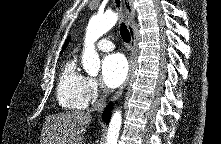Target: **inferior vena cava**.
Segmentation results:
<instances>
[{"label":"inferior vena cava","instance_id":"602c4592","mask_svg":"<svg viewBox=\"0 0 221 144\" xmlns=\"http://www.w3.org/2000/svg\"><path fill=\"white\" fill-rule=\"evenodd\" d=\"M109 89L104 88L103 89V94L100 96V98L92 104V108L90 109V112L92 111H98L102 112L104 108L106 107V98L107 94L109 93Z\"/></svg>","mask_w":221,"mask_h":144}]
</instances>
